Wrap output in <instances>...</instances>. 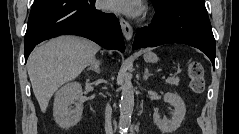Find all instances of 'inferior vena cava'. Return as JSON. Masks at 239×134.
<instances>
[{
	"mask_svg": "<svg viewBox=\"0 0 239 134\" xmlns=\"http://www.w3.org/2000/svg\"><path fill=\"white\" fill-rule=\"evenodd\" d=\"M111 114L112 110L109 104H107L105 109V131L106 134H112V125H111Z\"/></svg>",
	"mask_w": 239,
	"mask_h": 134,
	"instance_id": "obj_1",
	"label": "inferior vena cava"
}]
</instances>
